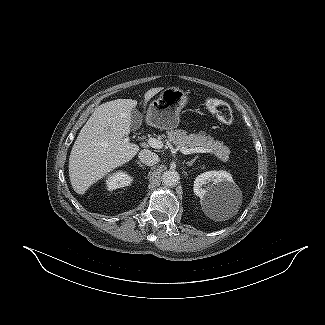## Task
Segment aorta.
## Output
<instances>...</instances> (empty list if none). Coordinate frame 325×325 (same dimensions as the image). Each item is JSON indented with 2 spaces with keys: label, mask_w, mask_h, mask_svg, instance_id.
<instances>
[{
  "label": "aorta",
  "mask_w": 325,
  "mask_h": 325,
  "mask_svg": "<svg viewBox=\"0 0 325 325\" xmlns=\"http://www.w3.org/2000/svg\"><path fill=\"white\" fill-rule=\"evenodd\" d=\"M180 180V175L175 170H167L162 174V182L166 186H175Z\"/></svg>",
  "instance_id": "aorta-1"
}]
</instances>
